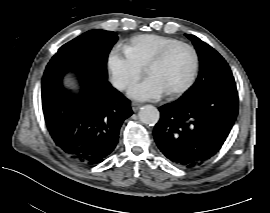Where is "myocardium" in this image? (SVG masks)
<instances>
[{
    "label": "myocardium",
    "mask_w": 270,
    "mask_h": 213,
    "mask_svg": "<svg viewBox=\"0 0 270 213\" xmlns=\"http://www.w3.org/2000/svg\"><path fill=\"white\" fill-rule=\"evenodd\" d=\"M178 48H187L192 52V54L194 56V66H193V69H192V72L190 74L188 81L183 86H181L178 89L172 90V91H167V95L171 98H176V97L183 95L188 90H190L192 88V86L194 85L195 80L197 78L198 69H199V56H198L196 49L189 43L180 42V43H177L173 46H170V47L166 48L165 50H163L162 52H160L148 64V71L150 72V70L153 67L160 64L171 52H173L174 50H176Z\"/></svg>",
    "instance_id": "myocardium-1"
}]
</instances>
